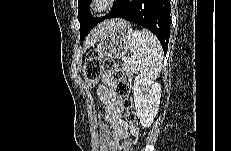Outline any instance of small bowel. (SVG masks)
Segmentation results:
<instances>
[{"mask_svg": "<svg viewBox=\"0 0 231 151\" xmlns=\"http://www.w3.org/2000/svg\"><path fill=\"white\" fill-rule=\"evenodd\" d=\"M98 96L105 107L104 119L111 128L109 146L117 149L120 140L127 137L130 132L135 133L136 129L122 116V102L114 92V78L111 74L106 73L102 77Z\"/></svg>", "mask_w": 231, "mask_h": 151, "instance_id": "obj_1", "label": "small bowel"}]
</instances>
